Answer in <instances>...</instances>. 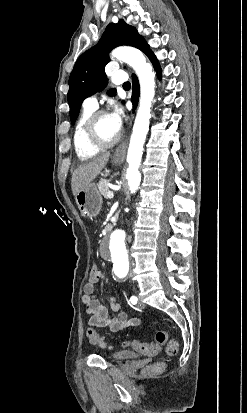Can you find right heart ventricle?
<instances>
[{
	"mask_svg": "<svg viewBox=\"0 0 247 413\" xmlns=\"http://www.w3.org/2000/svg\"><path fill=\"white\" fill-rule=\"evenodd\" d=\"M90 116V113L86 112L80 117L74 133L75 149L77 156L81 161H86L94 158L101 151L98 148L90 146L85 139V130L88 125Z\"/></svg>",
	"mask_w": 247,
	"mask_h": 413,
	"instance_id": "obj_1",
	"label": "right heart ventricle"
}]
</instances>
